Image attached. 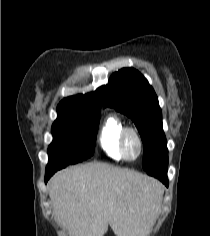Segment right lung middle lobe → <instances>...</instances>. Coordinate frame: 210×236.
<instances>
[{
    "label": "right lung middle lobe",
    "mask_w": 210,
    "mask_h": 236,
    "mask_svg": "<svg viewBox=\"0 0 210 236\" xmlns=\"http://www.w3.org/2000/svg\"><path fill=\"white\" fill-rule=\"evenodd\" d=\"M52 125L53 141L48 147L49 165L75 164L94 154L100 111L57 110Z\"/></svg>",
    "instance_id": "obj_1"
}]
</instances>
